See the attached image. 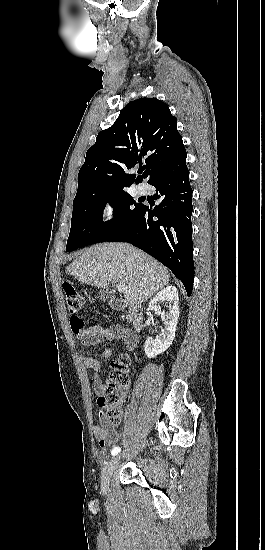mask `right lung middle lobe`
<instances>
[{"instance_id":"dd1d6c3e","label":"right lung middle lobe","mask_w":265,"mask_h":550,"mask_svg":"<svg viewBox=\"0 0 265 550\" xmlns=\"http://www.w3.org/2000/svg\"><path fill=\"white\" fill-rule=\"evenodd\" d=\"M108 202L118 209V213L114 214V219L103 222V210ZM142 207L143 204L135 201L127 191L87 199L75 197L66 251L106 241L131 222Z\"/></svg>"}]
</instances>
